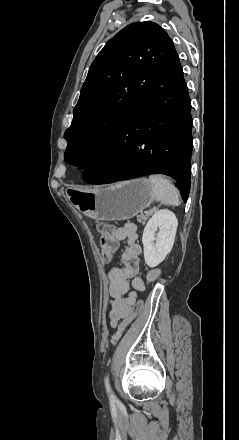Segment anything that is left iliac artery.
Returning <instances> with one entry per match:
<instances>
[{
  "label": "left iliac artery",
  "instance_id": "44dca946",
  "mask_svg": "<svg viewBox=\"0 0 239 440\" xmlns=\"http://www.w3.org/2000/svg\"><path fill=\"white\" fill-rule=\"evenodd\" d=\"M105 386H106V390H107V392L109 394L110 402L114 403L116 401V396L114 395V393H113V391L111 389L108 376H106V378H105Z\"/></svg>",
  "mask_w": 239,
  "mask_h": 440
}]
</instances>
